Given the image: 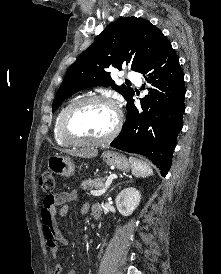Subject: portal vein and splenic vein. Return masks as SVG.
Instances as JSON below:
<instances>
[{"mask_svg":"<svg viewBox=\"0 0 221 274\" xmlns=\"http://www.w3.org/2000/svg\"><path fill=\"white\" fill-rule=\"evenodd\" d=\"M116 178H117V175H115V174L110 175L109 178H108L107 181H106L105 186H104L102 189H99V190H91L90 193H91L92 195H94V196H100V195L104 194V193L107 191V189H108V187L110 186V184L112 183V180H113V179H116Z\"/></svg>","mask_w":221,"mask_h":274,"instance_id":"obj_1","label":"portal vein and splenic vein"}]
</instances>
